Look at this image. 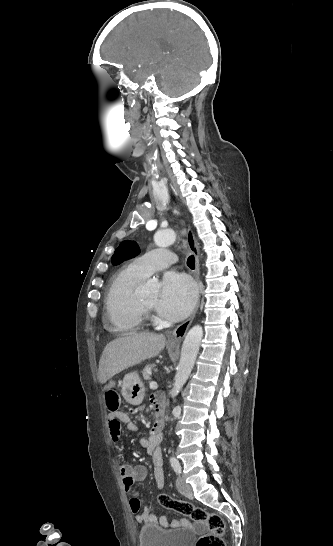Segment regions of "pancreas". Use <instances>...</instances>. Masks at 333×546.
I'll return each instance as SVG.
<instances>
[{
	"label": "pancreas",
	"instance_id": "obj_1",
	"mask_svg": "<svg viewBox=\"0 0 333 546\" xmlns=\"http://www.w3.org/2000/svg\"><path fill=\"white\" fill-rule=\"evenodd\" d=\"M155 367V365L153 364H150V365H146L145 368L143 369V378L145 380H150L151 378V370Z\"/></svg>",
	"mask_w": 333,
	"mask_h": 546
}]
</instances>
